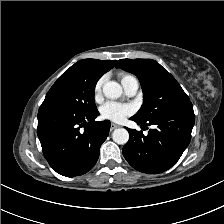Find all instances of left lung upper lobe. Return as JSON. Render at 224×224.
<instances>
[{
  "label": "left lung upper lobe",
  "mask_w": 224,
  "mask_h": 224,
  "mask_svg": "<svg viewBox=\"0 0 224 224\" xmlns=\"http://www.w3.org/2000/svg\"><path fill=\"white\" fill-rule=\"evenodd\" d=\"M117 68L136 75L141 83L144 101L133 116L150 122L181 112H193V105L174 77L152 59H121Z\"/></svg>",
  "instance_id": "5c2ea615"
}]
</instances>
